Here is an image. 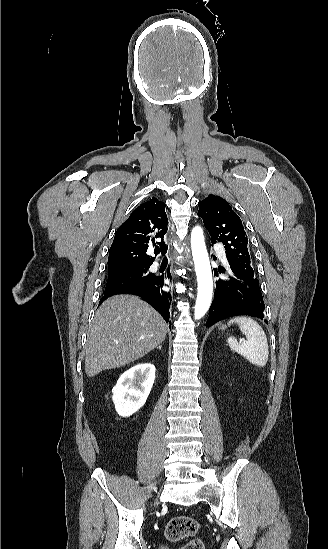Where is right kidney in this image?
<instances>
[{"label": "right kidney", "mask_w": 328, "mask_h": 549, "mask_svg": "<svg viewBox=\"0 0 328 549\" xmlns=\"http://www.w3.org/2000/svg\"><path fill=\"white\" fill-rule=\"evenodd\" d=\"M154 379L155 367L151 363H140L125 371L112 389V399L118 415L129 417L141 409L153 387Z\"/></svg>", "instance_id": "obj_1"}]
</instances>
